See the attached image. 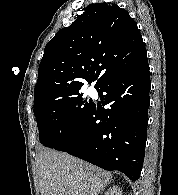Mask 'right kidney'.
Masks as SVG:
<instances>
[{
  "label": "right kidney",
  "mask_w": 178,
  "mask_h": 195,
  "mask_svg": "<svg viewBox=\"0 0 178 195\" xmlns=\"http://www.w3.org/2000/svg\"><path fill=\"white\" fill-rule=\"evenodd\" d=\"M105 195H122L120 188H118L117 186H113L112 188H110Z\"/></svg>",
  "instance_id": "1"
}]
</instances>
